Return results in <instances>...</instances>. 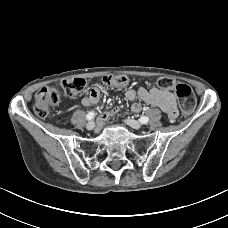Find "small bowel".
<instances>
[{
    "instance_id": "obj_1",
    "label": "small bowel",
    "mask_w": 228,
    "mask_h": 228,
    "mask_svg": "<svg viewBox=\"0 0 228 228\" xmlns=\"http://www.w3.org/2000/svg\"><path fill=\"white\" fill-rule=\"evenodd\" d=\"M100 91L97 87L92 88L89 95L82 99V104L86 107L95 105L99 101ZM125 97L129 101H134L140 98L144 102L160 108L169 119L177 118L179 112L177 108L176 98L174 94L168 90L160 88H150L139 87L138 89L129 88L125 92ZM121 107H116L110 111L105 112L100 118V123L107 122L114 115L121 111ZM131 111L138 113L141 111V105L139 103H133L131 105Z\"/></svg>"
}]
</instances>
